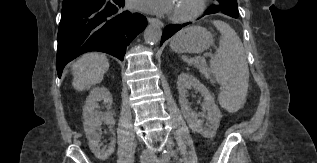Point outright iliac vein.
Masks as SVG:
<instances>
[{"mask_svg":"<svg viewBox=\"0 0 317 163\" xmlns=\"http://www.w3.org/2000/svg\"><path fill=\"white\" fill-rule=\"evenodd\" d=\"M141 163H150L148 160L143 159Z\"/></svg>","mask_w":317,"mask_h":163,"instance_id":"obj_1","label":"right iliac vein"}]
</instances>
